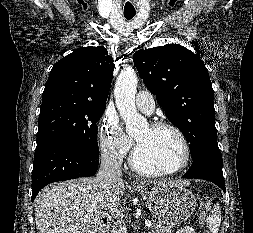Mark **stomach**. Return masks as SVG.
<instances>
[{"label": "stomach", "instance_id": "stomach-1", "mask_svg": "<svg viewBox=\"0 0 253 233\" xmlns=\"http://www.w3.org/2000/svg\"><path fill=\"white\" fill-rule=\"evenodd\" d=\"M137 190L148 197L151 213L166 225H178L187 220L195 211V196L182 184L165 183L151 188L145 184Z\"/></svg>", "mask_w": 253, "mask_h": 233}]
</instances>
